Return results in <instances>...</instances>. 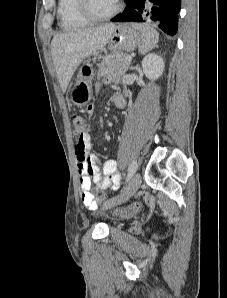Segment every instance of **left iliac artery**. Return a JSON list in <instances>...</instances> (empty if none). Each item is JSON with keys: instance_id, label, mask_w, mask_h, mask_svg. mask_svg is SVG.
Returning <instances> with one entry per match:
<instances>
[{"instance_id": "obj_1", "label": "left iliac artery", "mask_w": 227, "mask_h": 298, "mask_svg": "<svg viewBox=\"0 0 227 298\" xmlns=\"http://www.w3.org/2000/svg\"><path fill=\"white\" fill-rule=\"evenodd\" d=\"M137 167H138L137 162L132 161L129 168H128V174H127V177H126V182H128L131 179L133 174L136 172Z\"/></svg>"}]
</instances>
